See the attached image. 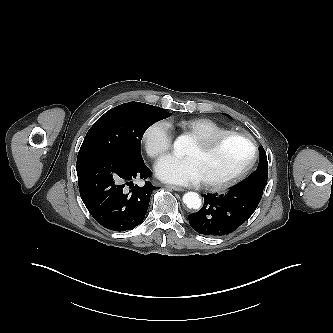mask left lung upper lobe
Wrapping results in <instances>:
<instances>
[{"instance_id": "obj_1", "label": "left lung upper lobe", "mask_w": 333, "mask_h": 333, "mask_svg": "<svg viewBox=\"0 0 333 333\" xmlns=\"http://www.w3.org/2000/svg\"><path fill=\"white\" fill-rule=\"evenodd\" d=\"M259 165L256 171L241 184L235 187L245 190H254L263 193L268 179V162L266 152L263 147H259Z\"/></svg>"}]
</instances>
